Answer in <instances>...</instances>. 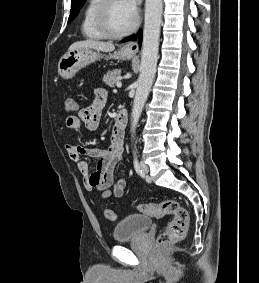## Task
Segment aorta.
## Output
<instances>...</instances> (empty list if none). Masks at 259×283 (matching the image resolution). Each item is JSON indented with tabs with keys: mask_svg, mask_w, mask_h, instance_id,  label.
Instances as JSON below:
<instances>
[{
	"mask_svg": "<svg viewBox=\"0 0 259 283\" xmlns=\"http://www.w3.org/2000/svg\"><path fill=\"white\" fill-rule=\"evenodd\" d=\"M162 0H146L140 75L132 109L131 131L135 133L142 109L152 86L158 61Z\"/></svg>",
	"mask_w": 259,
	"mask_h": 283,
	"instance_id": "762f6f07",
	"label": "aorta"
}]
</instances>
